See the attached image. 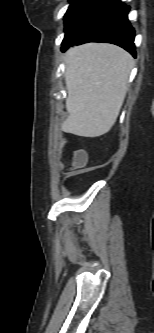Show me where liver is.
<instances>
[{
    "label": "liver",
    "mask_w": 154,
    "mask_h": 333,
    "mask_svg": "<svg viewBox=\"0 0 154 333\" xmlns=\"http://www.w3.org/2000/svg\"><path fill=\"white\" fill-rule=\"evenodd\" d=\"M67 119L61 129L82 137H99L117 120L128 89L132 56L122 48L88 43L65 56Z\"/></svg>",
    "instance_id": "obj_1"
}]
</instances>
